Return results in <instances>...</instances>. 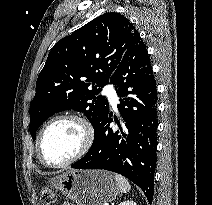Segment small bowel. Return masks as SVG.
Returning a JSON list of instances; mask_svg holds the SVG:
<instances>
[{"mask_svg":"<svg viewBox=\"0 0 212 205\" xmlns=\"http://www.w3.org/2000/svg\"><path fill=\"white\" fill-rule=\"evenodd\" d=\"M62 205H73V204H71V203H63Z\"/></svg>","mask_w":212,"mask_h":205,"instance_id":"1","label":"small bowel"}]
</instances>
